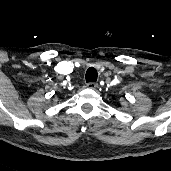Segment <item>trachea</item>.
Returning <instances> with one entry per match:
<instances>
[{"instance_id": "3493384b", "label": "trachea", "mask_w": 171, "mask_h": 171, "mask_svg": "<svg viewBox=\"0 0 171 171\" xmlns=\"http://www.w3.org/2000/svg\"><path fill=\"white\" fill-rule=\"evenodd\" d=\"M97 70L94 67H89L86 71V82H96L97 81Z\"/></svg>"}]
</instances>
